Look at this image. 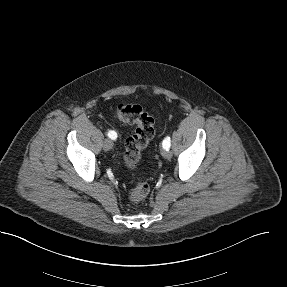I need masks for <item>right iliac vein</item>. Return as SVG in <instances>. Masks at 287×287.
Wrapping results in <instances>:
<instances>
[{
  "label": "right iliac vein",
  "instance_id": "obj_1",
  "mask_svg": "<svg viewBox=\"0 0 287 287\" xmlns=\"http://www.w3.org/2000/svg\"><path fill=\"white\" fill-rule=\"evenodd\" d=\"M112 146H113V143H112V141L109 140V139H106V140L103 142V149H104L105 151H109V150L112 148Z\"/></svg>",
  "mask_w": 287,
  "mask_h": 287
}]
</instances>
